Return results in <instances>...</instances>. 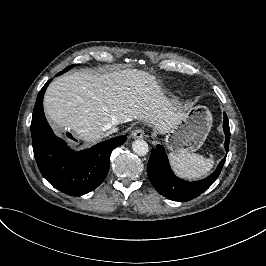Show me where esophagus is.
<instances>
[{"instance_id": "obj_1", "label": "esophagus", "mask_w": 266, "mask_h": 266, "mask_svg": "<svg viewBox=\"0 0 266 266\" xmlns=\"http://www.w3.org/2000/svg\"><path fill=\"white\" fill-rule=\"evenodd\" d=\"M132 137L133 138H143L144 137V131L142 129H136L135 131L132 132Z\"/></svg>"}]
</instances>
